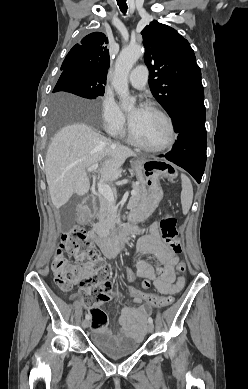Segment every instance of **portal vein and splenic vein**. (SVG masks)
I'll use <instances>...</instances> for the list:
<instances>
[{
	"label": "portal vein and splenic vein",
	"instance_id": "1",
	"mask_svg": "<svg viewBox=\"0 0 248 389\" xmlns=\"http://www.w3.org/2000/svg\"><path fill=\"white\" fill-rule=\"evenodd\" d=\"M98 168V164H93L91 165L90 167L87 168V171L88 172H92V171H95L96 169ZM98 192L110 203H113L114 202V195H113V192L111 190V188L104 184L102 181H99L98 184ZM136 192L133 190L131 191V195H135Z\"/></svg>",
	"mask_w": 248,
	"mask_h": 389
}]
</instances>
